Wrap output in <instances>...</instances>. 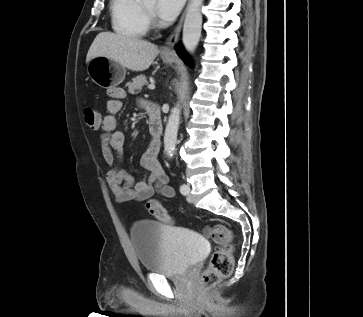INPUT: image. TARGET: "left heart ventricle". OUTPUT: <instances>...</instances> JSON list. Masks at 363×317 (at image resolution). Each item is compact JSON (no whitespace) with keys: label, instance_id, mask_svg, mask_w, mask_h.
<instances>
[{"label":"left heart ventricle","instance_id":"obj_1","mask_svg":"<svg viewBox=\"0 0 363 317\" xmlns=\"http://www.w3.org/2000/svg\"><path fill=\"white\" fill-rule=\"evenodd\" d=\"M144 5L146 8H148L151 11H155V7H156V2L155 0H145L144 1Z\"/></svg>","mask_w":363,"mask_h":317}]
</instances>
